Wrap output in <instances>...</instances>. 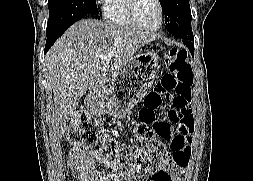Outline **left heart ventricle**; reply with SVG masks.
<instances>
[{"label": "left heart ventricle", "instance_id": "b2bd125f", "mask_svg": "<svg viewBox=\"0 0 253 181\" xmlns=\"http://www.w3.org/2000/svg\"><path fill=\"white\" fill-rule=\"evenodd\" d=\"M137 16L144 26L156 27L160 20V11L156 0H138Z\"/></svg>", "mask_w": 253, "mask_h": 181}]
</instances>
